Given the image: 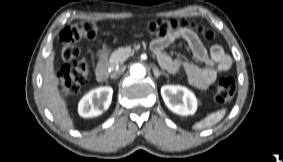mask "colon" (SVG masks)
<instances>
[{
	"mask_svg": "<svg viewBox=\"0 0 283 162\" xmlns=\"http://www.w3.org/2000/svg\"><path fill=\"white\" fill-rule=\"evenodd\" d=\"M145 29L150 35L158 38L187 29L201 34L206 41H211L214 38L211 31L206 30L201 25L190 23L186 20L158 19L149 22ZM98 32L99 24L96 21L78 22L67 26L61 31L59 39L63 66L58 73V79L62 95L76 94L87 84L89 65L80 56L77 43L82 39H95ZM235 90L236 84L232 77L221 78L215 89V102L220 105L229 102L233 98Z\"/></svg>",
	"mask_w": 283,
	"mask_h": 162,
	"instance_id": "obj_1",
	"label": "colon"
}]
</instances>
